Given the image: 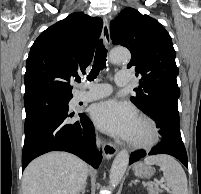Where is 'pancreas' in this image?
I'll return each instance as SVG.
<instances>
[{"label":"pancreas","mask_w":201,"mask_h":194,"mask_svg":"<svg viewBox=\"0 0 201 194\" xmlns=\"http://www.w3.org/2000/svg\"><path fill=\"white\" fill-rule=\"evenodd\" d=\"M162 192V189H160L158 186H150L148 188V194H160Z\"/></svg>","instance_id":"1"}]
</instances>
